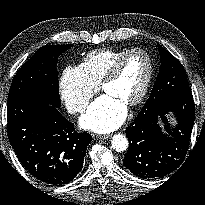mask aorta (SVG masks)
<instances>
[{
    "label": "aorta",
    "mask_w": 205,
    "mask_h": 205,
    "mask_svg": "<svg viewBox=\"0 0 205 205\" xmlns=\"http://www.w3.org/2000/svg\"><path fill=\"white\" fill-rule=\"evenodd\" d=\"M111 143L113 149H115L117 152L125 151L128 148V144H129L126 136L122 134L114 135L112 137Z\"/></svg>",
    "instance_id": "1"
}]
</instances>
